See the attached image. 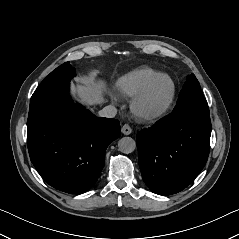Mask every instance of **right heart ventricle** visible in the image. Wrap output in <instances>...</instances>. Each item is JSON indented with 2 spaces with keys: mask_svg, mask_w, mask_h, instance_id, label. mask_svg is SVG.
I'll use <instances>...</instances> for the list:
<instances>
[{
  "mask_svg": "<svg viewBox=\"0 0 239 239\" xmlns=\"http://www.w3.org/2000/svg\"><path fill=\"white\" fill-rule=\"evenodd\" d=\"M159 72L143 67L123 75L117 82V90L124 97H132L141 91Z\"/></svg>",
  "mask_w": 239,
  "mask_h": 239,
  "instance_id": "right-heart-ventricle-1",
  "label": "right heart ventricle"
}]
</instances>
